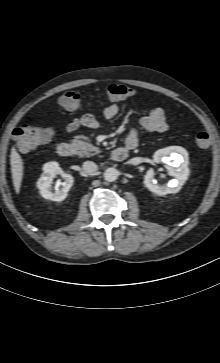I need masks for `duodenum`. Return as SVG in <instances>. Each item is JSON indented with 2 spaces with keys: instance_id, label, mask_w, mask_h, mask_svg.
<instances>
[{
  "instance_id": "1",
  "label": "duodenum",
  "mask_w": 220,
  "mask_h": 363,
  "mask_svg": "<svg viewBox=\"0 0 220 363\" xmlns=\"http://www.w3.org/2000/svg\"><path fill=\"white\" fill-rule=\"evenodd\" d=\"M57 153L62 157H69L74 153V146L70 142H61L57 146ZM128 150L125 148H115L111 152L112 160L121 162L126 159Z\"/></svg>"
}]
</instances>
